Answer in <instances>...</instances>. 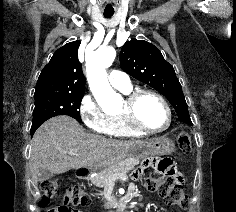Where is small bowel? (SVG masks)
Instances as JSON below:
<instances>
[{
	"mask_svg": "<svg viewBox=\"0 0 236 212\" xmlns=\"http://www.w3.org/2000/svg\"><path fill=\"white\" fill-rule=\"evenodd\" d=\"M160 171L165 173V172L168 171V169L167 168H161Z\"/></svg>",
	"mask_w": 236,
	"mask_h": 212,
	"instance_id": "small-bowel-1",
	"label": "small bowel"
}]
</instances>
